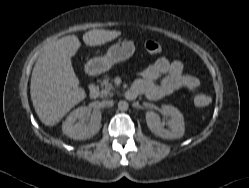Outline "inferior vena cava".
Returning <instances> with one entry per match:
<instances>
[{
  "mask_svg": "<svg viewBox=\"0 0 249 188\" xmlns=\"http://www.w3.org/2000/svg\"><path fill=\"white\" fill-rule=\"evenodd\" d=\"M102 103L105 107H112L114 104L112 100H105Z\"/></svg>",
  "mask_w": 249,
  "mask_h": 188,
  "instance_id": "1",
  "label": "inferior vena cava"
}]
</instances>
